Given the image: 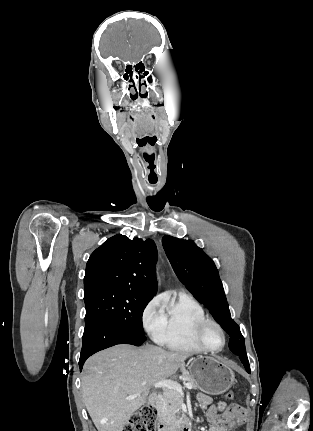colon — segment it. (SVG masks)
I'll use <instances>...</instances> for the list:
<instances>
[{
  "instance_id": "5ec220e1",
  "label": "colon",
  "mask_w": 313,
  "mask_h": 431,
  "mask_svg": "<svg viewBox=\"0 0 313 431\" xmlns=\"http://www.w3.org/2000/svg\"><path fill=\"white\" fill-rule=\"evenodd\" d=\"M234 397L232 391L226 393L227 399L232 400ZM123 431H159L156 409L151 405L143 406L130 417Z\"/></svg>"
}]
</instances>
